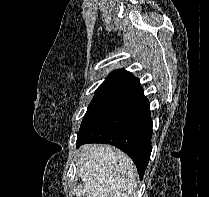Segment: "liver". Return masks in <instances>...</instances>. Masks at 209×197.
<instances>
[{
    "label": "liver",
    "mask_w": 209,
    "mask_h": 197,
    "mask_svg": "<svg viewBox=\"0 0 209 197\" xmlns=\"http://www.w3.org/2000/svg\"><path fill=\"white\" fill-rule=\"evenodd\" d=\"M78 176L86 197H133L138 175L132 160L120 150L102 144L80 149Z\"/></svg>",
    "instance_id": "1"
}]
</instances>
